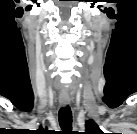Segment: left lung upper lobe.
<instances>
[{
	"label": "left lung upper lobe",
	"mask_w": 137,
	"mask_h": 134,
	"mask_svg": "<svg viewBox=\"0 0 137 134\" xmlns=\"http://www.w3.org/2000/svg\"><path fill=\"white\" fill-rule=\"evenodd\" d=\"M86 132L85 134H102L103 132L99 128V126L93 121L89 120L85 123Z\"/></svg>",
	"instance_id": "1"
}]
</instances>
